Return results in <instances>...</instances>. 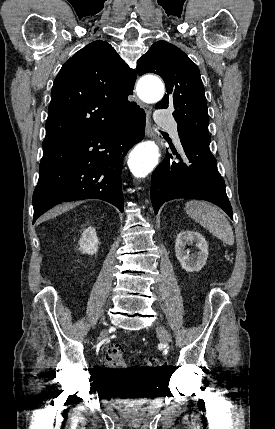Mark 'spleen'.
<instances>
[{
  "instance_id": "3e777b00",
  "label": "spleen",
  "mask_w": 275,
  "mask_h": 429,
  "mask_svg": "<svg viewBox=\"0 0 275 429\" xmlns=\"http://www.w3.org/2000/svg\"><path fill=\"white\" fill-rule=\"evenodd\" d=\"M185 211L188 216L225 244H234L232 227L227 218L216 207L207 202L191 200L185 204Z\"/></svg>"
}]
</instances>
